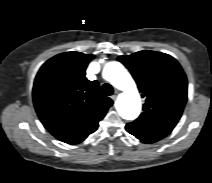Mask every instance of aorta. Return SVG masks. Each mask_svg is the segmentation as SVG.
<instances>
[{"label":"aorta","mask_w":212,"mask_h":183,"mask_svg":"<svg viewBox=\"0 0 212 183\" xmlns=\"http://www.w3.org/2000/svg\"><path fill=\"white\" fill-rule=\"evenodd\" d=\"M103 77L113 86L123 91L116 104L120 116L126 120L136 119L141 112V99L129 72L121 63L110 61L103 68Z\"/></svg>","instance_id":"762f6f07"}]
</instances>
